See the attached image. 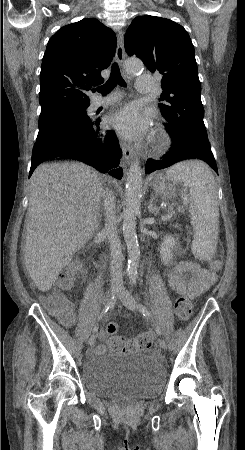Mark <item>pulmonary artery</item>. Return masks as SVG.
Segmentation results:
<instances>
[{
	"label": "pulmonary artery",
	"instance_id": "e3ab8cb5",
	"mask_svg": "<svg viewBox=\"0 0 245 450\" xmlns=\"http://www.w3.org/2000/svg\"><path fill=\"white\" fill-rule=\"evenodd\" d=\"M137 93L142 95L152 94L154 92V87L156 85V78L149 74H142L138 76L137 80ZM118 97H103L99 98L95 103L98 106L108 105L113 101H116Z\"/></svg>",
	"mask_w": 245,
	"mask_h": 450
}]
</instances>
